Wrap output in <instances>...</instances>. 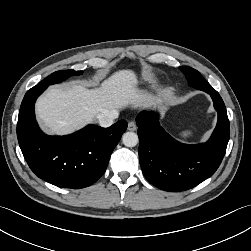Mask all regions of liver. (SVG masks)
Returning <instances> with one entry per match:
<instances>
[{
    "label": "liver",
    "instance_id": "liver-1",
    "mask_svg": "<svg viewBox=\"0 0 251 251\" xmlns=\"http://www.w3.org/2000/svg\"><path fill=\"white\" fill-rule=\"evenodd\" d=\"M167 93L154 97L138 88L134 71L122 69L104 80L99 88L82 84L50 87L36 102V113L51 134L64 135L80 129L106 110L162 103Z\"/></svg>",
    "mask_w": 251,
    "mask_h": 251
}]
</instances>
